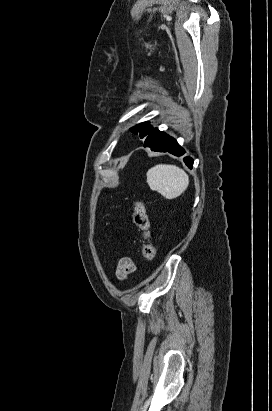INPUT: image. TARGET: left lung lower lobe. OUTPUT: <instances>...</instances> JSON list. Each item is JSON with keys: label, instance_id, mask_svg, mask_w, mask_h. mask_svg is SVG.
I'll return each mask as SVG.
<instances>
[{"label": "left lung lower lobe", "instance_id": "1", "mask_svg": "<svg viewBox=\"0 0 272 411\" xmlns=\"http://www.w3.org/2000/svg\"><path fill=\"white\" fill-rule=\"evenodd\" d=\"M144 147H150L152 151L169 152L175 156H181L185 153L173 137L159 130L147 135ZM184 162L190 169L192 168L193 160L190 157H185Z\"/></svg>", "mask_w": 272, "mask_h": 411}]
</instances>
